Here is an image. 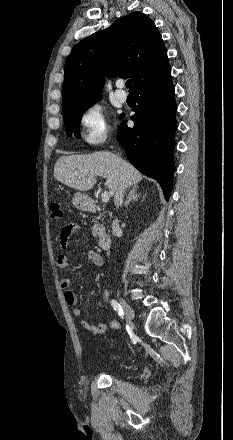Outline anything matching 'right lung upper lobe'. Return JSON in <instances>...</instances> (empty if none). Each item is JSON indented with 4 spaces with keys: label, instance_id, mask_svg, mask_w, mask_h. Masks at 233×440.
I'll return each mask as SVG.
<instances>
[{
    "label": "right lung upper lobe",
    "instance_id": "cb5924a9",
    "mask_svg": "<svg viewBox=\"0 0 233 440\" xmlns=\"http://www.w3.org/2000/svg\"><path fill=\"white\" fill-rule=\"evenodd\" d=\"M169 66L153 21L130 13L77 43L67 57L62 109L101 98L107 77H131L134 89Z\"/></svg>",
    "mask_w": 233,
    "mask_h": 440
}]
</instances>
